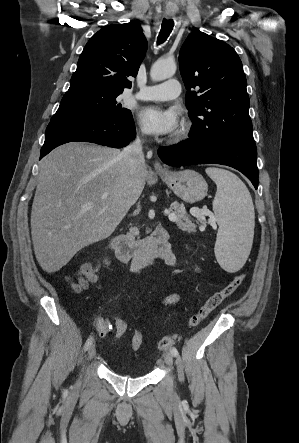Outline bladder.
Masks as SVG:
<instances>
[{
  "label": "bladder",
  "mask_w": 299,
  "mask_h": 443,
  "mask_svg": "<svg viewBox=\"0 0 299 443\" xmlns=\"http://www.w3.org/2000/svg\"><path fill=\"white\" fill-rule=\"evenodd\" d=\"M112 371L120 375H127L131 377H140L145 373L144 369L140 365H124V367L113 366Z\"/></svg>",
  "instance_id": "obj_1"
}]
</instances>
